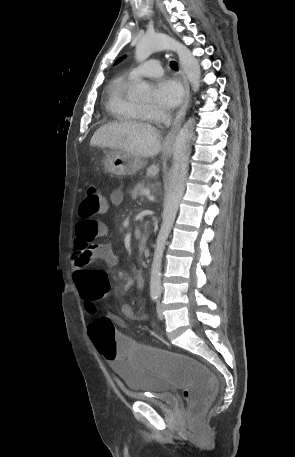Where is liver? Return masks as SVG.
<instances>
[{
  "mask_svg": "<svg viewBox=\"0 0 295 457\" xmlns=\"http://www.w3.org/2000/svg\"><path fill=\"white\" fill-rule=\"evenodd\" d=\"M90 145L122 150L140 159L155 156L162 149L160 132L150 124L134 121L114 122L100 127L92 136ZM158 173V164L147 168L148 177H155Z\"/></svg>",
  "mask_w": 295,
  "mask_h": 457,
  "instance_id": "1",
  "label": "liver"
}]
</instances>
